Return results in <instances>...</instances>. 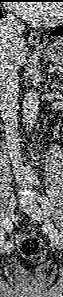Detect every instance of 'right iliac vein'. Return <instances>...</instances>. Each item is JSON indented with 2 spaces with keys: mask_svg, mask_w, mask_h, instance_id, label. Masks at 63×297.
Wrapping results in <instances>:
<instances>
[{
  "mask_svg": "<svg viewBox=\"0 0 63 297\" xmlns=\"http://www.w3.org/2000/svg\"><path fill=\"white\" fill-rule=\"evenodd\" d=\"M14 208H15V197L12 196L8 203L6 214H5V222L8 223L12 216L14 215ZM12 249V243L7 242L6 246L1 247V252L7 251L9 252Z\"/></svg>",
  "mask_w": 63,
  "mask_h": 297,
  "instance_id": "obj_1",
  "label": "right iliac vein"
}]
</instances>
